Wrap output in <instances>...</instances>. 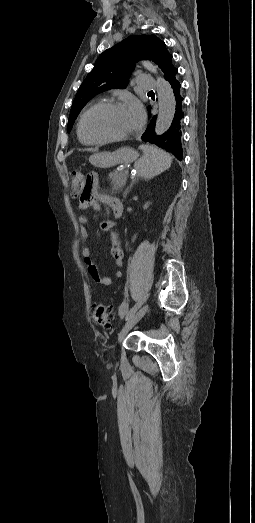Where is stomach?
Here are the masks:
<instances>
[{
    "mask_svg": "<svg viewBox=\"0 0 255 523\" xmlns=\"http://www.w3.org/2000/svg\"><path fill=\"white\" fill-rule=\"evenodd\" d=\"M137 158V152L133 148H120L115 151H94L89 163L92 167L110 168L116 164H130ZM108 162V164H105Z\"/></svg>",
    "mask_w": 255,
    "mask_h": 523,
    "instance_id": "0dacf381",
    "label": "stomach"
}]
</instances>
